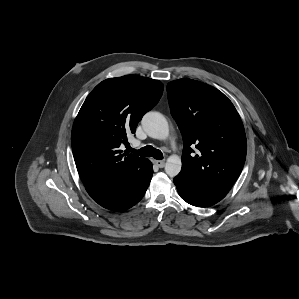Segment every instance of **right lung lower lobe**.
Segmentation results:
<instances>
[{"mask_svg": "<svg viewBox=\"0 0 299 299\" xmlns=\"http://www.w3.org/2000/svg\"><path fill=\"white\" fill-rule=\"evenodd\" d=\"M152 174V163L147 159L143 168L115 183L102 186L85 185V187L88 194L102 207L113 211H124L142 199Z\"/></svg>", "mask_w": 299, "mask_h": 299, "instance_id": "right-lung-lower-lobe-1", "label": "right lung lower lobe"}]
</instances>
